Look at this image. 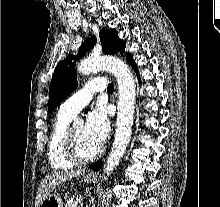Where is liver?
<instances>
[{"mask_svg": "<svg viewBox=\"0 0 220 207\" xmlns=\"http://www.w3.org/2000/svg\"><path fill=\"white\" fill-rule=\"evenodd\" d=\"M85 170H65L56 171L44 177L39 185L35 200V207H39L41 202L51 195V192L62 182L83 175Z\"/></svg>", "mask_w": 220, "mask_h": 207, "instance_id": "6515ba94", "label": "liver"}]
</instances>
